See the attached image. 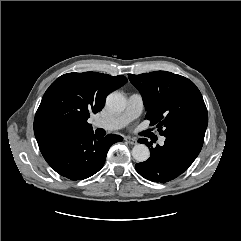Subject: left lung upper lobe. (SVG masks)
<instances>
[{
    "label": "left lung upper lobe",
    "instance_id": "1",
    "mask_svg": "<svg viewBox=\"0 0 241 241\" xmlns=\"http://www.w3.org/2000/svg\"><path fill=\"white\" fill-rule=\"evenodd\" d=\"M128 78L142 95L150 125L156 124L161 135L205 133L208 113L192 81L166 71L128 74Z\"/></svg>",
    "mask_w": 241,
    "mask_h": 241
}]
</instances>
